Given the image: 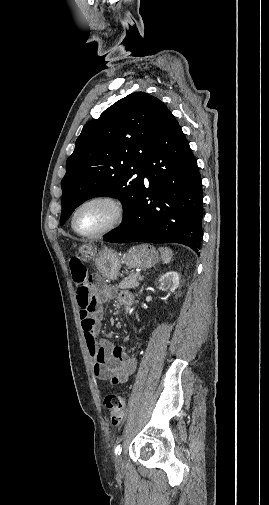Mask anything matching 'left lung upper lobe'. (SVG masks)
<instances>
[{"label":"left lung upper lobe","instance_id":"obj_1","mask_svg":"<svg viewBox=\"0 0 269 505\" xmlns=\"http://www.w3.org/2000/svg\"><path fill=\"white\" fill-rule=\"evenodd\" d=\"M168 112L158 98L134 92L85 124L61 182V225L76 207L96 196L118 198L124 209L122 224L130 218L149 142Z\"/></svg>","mask_w":269,"mask_h":505}]
</instances>
